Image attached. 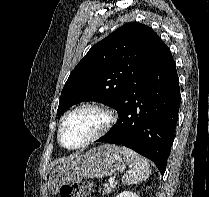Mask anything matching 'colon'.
<instances>
[{
  "label": "colon",
  "mask_w": 209,
  "mask_h": 197,
  "mask_svg": "<svg viewBox=\"0 0 209 197\" xmlns=\"http://www.w3.org/2000/svg\"><path fill=\"white\" fill-rule=\"evenodd\" d=\"M92 189L88 180H80L60 187V197H87Z\"/></svg>",
  "instance_id": "colon-1"
}]
</instances>
